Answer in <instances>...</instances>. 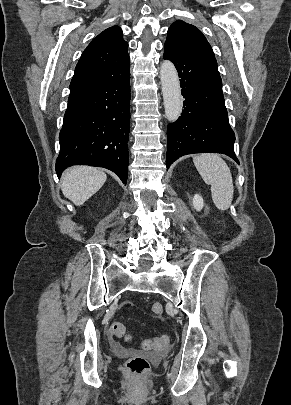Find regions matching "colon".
Returning <instances> with one entry per match:
<instances>
[{"instance_id": "1", "label": "colon", "mask_w": 291, "mask_h": 405, "mask_svg": "<svg viewBox=\"0 0 291 405\" xmlns=\"http://www.w3.org/2000/svg\"><path fill=\"white\" fill-rule=\"evenodd\" d=\"M152 311L155 315H161L163 313V306L160 303H155L152 306ZM109 334L112 338L127 337L126 327L122 323H114L109 330ZM168 344L169 337L163 335L145 340L143 342V347L147 350H162L166 348ZM125 367L129 377L141 378L147 373L149 369V363L146 358L135 356L127 360Z\"/></svg>"}]
</instances>
